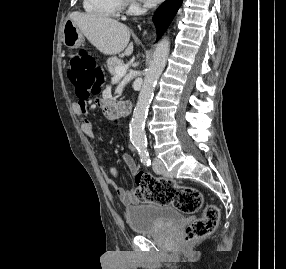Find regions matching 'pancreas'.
Masks as SVG:
<instances>
[{
    "instance_id": "obj_1",
    "label": "pancreas",
    "mask_w": 286,
    "mask_h": 269,
    "mask_svg": "<svg viewBox=\"0 0 286 269\" xmlns=\"http://www.w3.org/2000/svg\"><path fill=\"white\" fill-rule=\"evenodd\" d=\"M108 71L115 76L117 67H124V62L117 57H112L107 61Z\"/></svg>"
}]
</instances>
